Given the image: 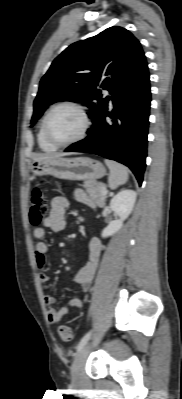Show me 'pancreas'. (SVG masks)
<instances>
[{"label": "pancreas", "mask_w": 182, "mask_h": 399, "mask_svg": "<svg viewBox=\"0 0 182 399\" xmlns=\"http://www.w3.org/2000/svg\"><path fill=\"white\" fill-rule=\"evenodd\" d=\"M83 187L91 196L98 200L99 206L104 205V201L106 198V194H104V191L106 190V185L104 183L97 182L95 180H87L83 183Z\"/></svg>", "instance_id": "obj_1"}]
</instances>
